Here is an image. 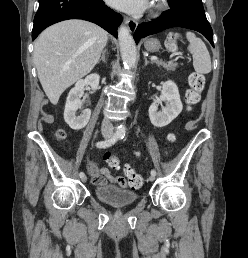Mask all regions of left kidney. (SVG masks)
<instances>
[{
  "label": "left kidney",
  "mask_w": 248,
  "mask_h": 258,
  "mask_svg": "<svg viewBox=\"0 0 248 258\" xmlns=\"http://www.w3.org/2000/svg\"><path fill=\"white\" fill-rule=\"evenodd\" d=\"M164 102L165 107L158 111V103ZM183 105L177 85L172 81H166L162 86L160 98L149 107L151 123L158 128L170 124L182 111Z\"/></svg>",
  "instance_id": "left-kidney-1"
}]
</instances>
